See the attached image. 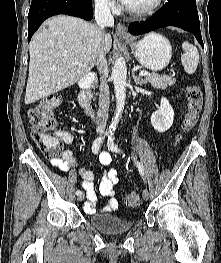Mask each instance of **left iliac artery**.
Listing matches in <instances>:
<instances>
[{"instance_id": "left-iliac-artery-1", "label": "left iliac artery", "mask_w": 221, "mask_h": 263, "mask_svg": "<svg viewBox=\"0 0 221 263\" xmlns=\"http://www.w3.org/2000/svg\"><path fill=\"white\" fill-rule=\"evenodd\" d=\"M108 148L111 150V151H114V152H121V150L115 145L114 143V136L113 134H110L108 136ZM137 167H138V170L140 172V174L142 175V177H144V168H143V165L140 163V162H137Z\"/></svg>"}]
</instances>
